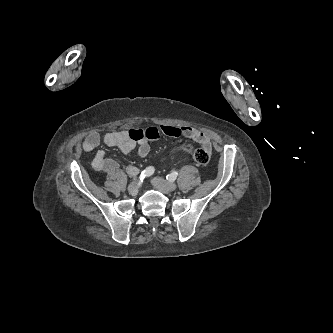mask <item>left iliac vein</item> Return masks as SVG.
<instances>
[{"label": "left iliac vein", "instance_id": "left-iliac-vein-1", "mask_svg": "<svg viewBox=\"0 0 333 333\" xmlns=\"http://www.w3.org/2000/svg\"><path fill=\"white\" fill-rule=\"evenodd\" d=\"M152 184L156 187L159 191L163 193H169L176 189L177 185L174 182H167L163 178L155 177L152 179Z\"/></svg>", "mask_w": 333, "mask_h": 333}]
</instances>
